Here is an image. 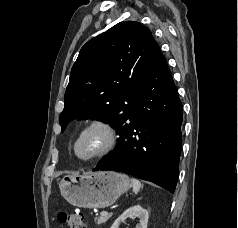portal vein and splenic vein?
Instances as JSON below:
<instances>
[{
	"label": "portal vein and splenic vein",
	"mask_w": 238,
	"mask_h": 228,
	"mask_svg": "<svg viewBox=\"0 0 238 228\" xmlns=\"http://www.w3.org/2000/svg\"><path fill=\"white\" fill-rule=\"evenodd\" d=\"M107 214H109V213L106 212V211L101 212V215H102V216H105V215H107Z\"/></svg>",
	"instance_id": "18ae733b"
}]
</instances>
